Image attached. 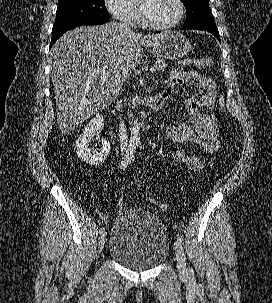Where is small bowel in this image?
Listing matches in <instances>:
<instances>
[{"label": "small bowel", "instance_id": "obj_1", "mask_svg": "<svg viewBox=\"0 0 272 303\" xmlns=\"http://www.w3.org/2000/svg\"><path fill=\"white\" fill-rule=\"evenodd\" d=\"M193 86L194 95L183 98L186 119L174 123L167 129V137L175 143H189L212 154L220 146L219 126L213 109L217 101V88L214 81L196 72L172 70L166 88L169 96L179 88ZM192 126V127H191ZM170 156L187 165L192 173H200L209 165V160L196 153L173 150Z\"/></svg>", "mask_w": 272, "mask_h": 303}]
</instances>
